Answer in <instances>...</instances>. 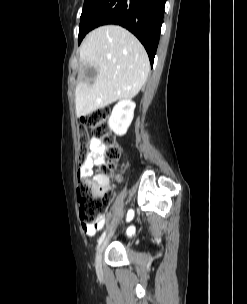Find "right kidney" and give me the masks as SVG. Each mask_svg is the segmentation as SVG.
<instances>
[{
  "mask_svg": "<svg viewBox=\"0 0 247 304\" xmlns=\"http://www.w3.org/2000/svg\"><path fill=\"white\" fill-rule=\"evenodd\" d=\"M135 103L130 99L119 101L112 110L108 124L117 135L126 134L134 116Z\"/></svg>",
  "mask_w": 247,
  "mask_h": 304,
  "instance_id": "obj_1",
  "label": "right kidney"
}]
</instances>
